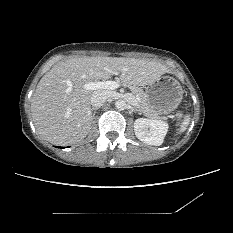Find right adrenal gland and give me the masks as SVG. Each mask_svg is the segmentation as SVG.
I'll list each match as a JSON object with an SVG mask.
<instances>
[{
  "instance_id": "1",
  "label": "right adrenal gland",
  "mask_w": 233,
  "mask_h": 233,
  "mask_svg": "<svg viewBox=\"0 0 233 233\" xmlns=\"http://www.w3.org/2000/svg\"><path fill=\"white\" fill-rule=\"evenodd\" d=\"M97 109H98L97 107H93V108L91 109L92 118L95 117V113H96V110H97Z\"/></svg>"
}]
</instances>
